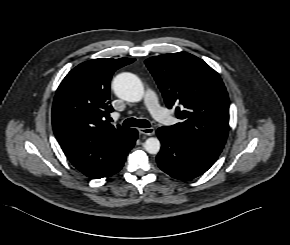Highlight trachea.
Here are the masks:
<instances>
[{
	"label": "trachea",
	"mask_w": 290,
	"mask_h": 245,
	"mask_svg": "<svg viewBox=\"0 0 290 245\" xmlns=\"http://www.w3.org/2000/svg\"><path fill=\"white\" fill-rule=\"evenodd\" d=\"M124 126L149 128L150 123L146 119L128 118L123 122Z\"/></svg>",
	"instance_id": "3493384b"
}]
</instances>
